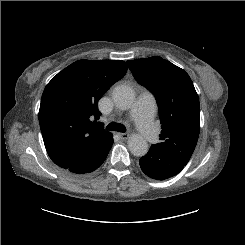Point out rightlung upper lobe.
Here are the masks:
<instances>
[{"mask_svg":"<svg viewBox=\"0 0 245 245\" xmlns=\"http://www.w3.org/2000/svg\"><path fill=\"white\" fill-rule=\"evenodd\" d=\"M120 60H79L45 87L39 110L43 141L52 161L63 169L83 160L110 135L97 122L98 100L126 73Z\"/></svg>","mask_w":245,"mask_h":245,"instance_id":"right-lung-upper-lobe-1","label":"right lung upper lobe"}]
</instances>
